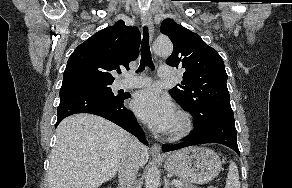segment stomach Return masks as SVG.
Instances as JSON below:
<instances>
[{
  "instance_id": "stomach-1",
  "label": "stomach",
  "mask_w": 292,
  "mask_h": 188,
  "mask_svg": "<svg viewBox=\"0 0 292 188\" xmlns=\"http://www.w3.org/2000/svg\"><path fill=\"white\" fill-rule=\"evenodd\" d=\"M219 155L212 149L193 146L172 152L165 158L164 168L189 183H207L221 171Z\"/></svg>"
}]
</instances>
